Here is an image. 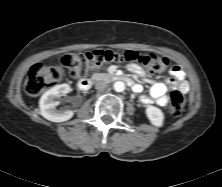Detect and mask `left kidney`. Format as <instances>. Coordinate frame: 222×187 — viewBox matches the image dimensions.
Instances as JSON below:
<instances>
[{"instance_id":"1","label":"left kidney","mask_w":222,"mask_h":187,"mask_svg":"<svg viewBox=\"0 0 222 187\" xmlns=\"http://www.w3.org/2000/svg\"><path fill=\"white\" fill-rule=\"evenodd\" d=\"M146 115L152 125L156 127H161L163 125L164 114L159 108L155 106H148L146 108Z\"/></svg>"}]
</instances>
